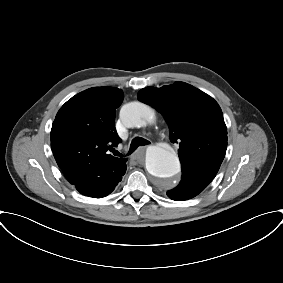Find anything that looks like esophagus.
Listing matches in <instances>:
<instances>
[{"mask_svg":"<svg viewBox=\"0 0 283 283\" xmlns=\"http://www.w3.org/2000/svg\"><path fill=\"white\" fill-rule=\"evenodd\" d=\"M146 149V146L145 147H140L138 149L137 152H135L132 156H131V159L132 160H135L137 162H141V161H144V151ZM142 154V155H141Z\"/></svg>","mask_w":283,"mask_h":283,"instance_id":"esophagus-1","label":"esophagus"}]
</instances>
